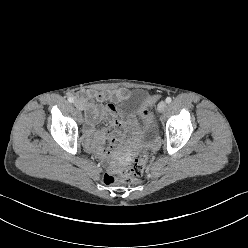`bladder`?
Masks as SVG:
<instances>
[{
  "instance_id": "obj_1",
  "label": "bladder",
  "mask_w": 248,
  "mask_h": 248,
  "mask_svg": "<svg viewBox=\"0 0 248 248\" xmlns=\"http://www.w3.org/2000/svg\"><path fill=\"white\" fill-rule=\"evenodd\" d=\"M147 93L145 90L139 89L132 93L128 98L123 100L120 104V110L128 119L133 122L142 116L143 110L147 107ZM155 133L153 128L147 123V126L141 130L143 143L150 142Z\"/></svg>"
}]
</instances>
